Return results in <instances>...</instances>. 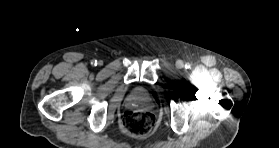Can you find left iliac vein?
Wrapping results in <instances>:
<instances>
[{
    "mask_svg": "<svg viewBox=\"0 0 279 148\" xmlns=\"http://www.w3.org/2000/svg\"><path fill=\"white\" fill-rule=\"evenodd\" d=\"M176 66H177V68H183V67H184V64H183V62H182L181 60H178V61L176 62Z\"/></svg>",
    "mask_w": 279,
    "mask_h": 148,
    "instance_id": "left-iliac-vein-1",
    "label": "left iliac vein"
}]
</instances>
